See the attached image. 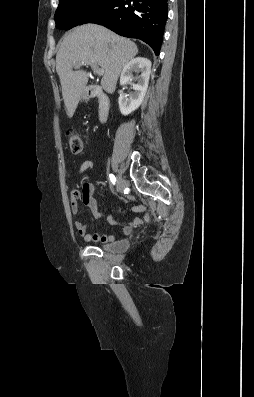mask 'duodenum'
<instances>
[{"mask_svg":"<svg viewBox=\"0 0 254 397\" xmlns=\"http://www.w3.org/2000/svg\"><path fill=\"white\" fill-rule=\"evenodd\" d=\"M85 96L88 98H97L99 121L104 123L109 115L110 101L108 96L97 85H89L85 89Z\"/></svg>","mask_w":254,"mask_h":397,"instance_id":"duodenum-1","label":"duodenum"}]
</instances>
